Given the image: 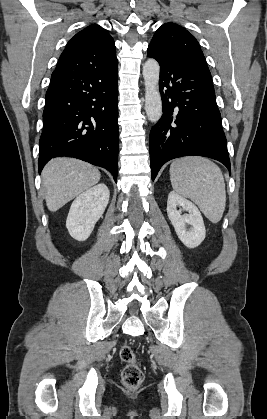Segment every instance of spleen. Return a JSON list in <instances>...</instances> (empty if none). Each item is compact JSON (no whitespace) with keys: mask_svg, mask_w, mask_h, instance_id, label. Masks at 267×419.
Here are the masks:
<instances>
[{"mask_svg":"<svg viewBox=\"0 0 267 419\" xmlns=\"http://www.w3.org/2000/svg\"><path fill=\"white\" fill-rule=\"evenodd\" d=\"M175 192L190 198L212 223H218L226 205L225 181L220 168L200 156L176 159L170 166Z\"/></svg>","mask_w":267,"mask_h":419,"instance_id":"obj_1","label":"spleen"}]
</instances>
